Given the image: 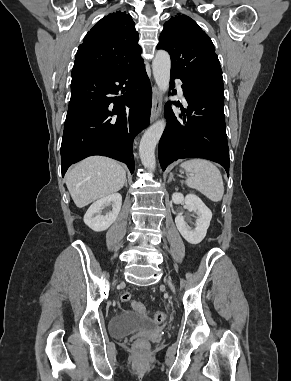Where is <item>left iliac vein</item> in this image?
<instances>
[{"label": "left iliac vein", "mask_w": 291, "mask_h": 381, "mask_svg": "<svg viewBox=\"0 0 291 381\" xmlns=\"http://www.w3.org/2000/svg\"><path fill=\"white\" fill-rule=\"evenodd\" d=\"M168 283H169V286L171 287V289L173 290V292L175 291V288H174V286H173V284H172V282H171V280H168Z\"/></svg>", "instance_id": "left-iliac-vein-1"}]
</instances>
